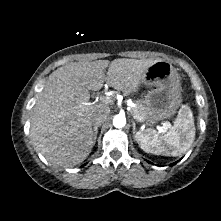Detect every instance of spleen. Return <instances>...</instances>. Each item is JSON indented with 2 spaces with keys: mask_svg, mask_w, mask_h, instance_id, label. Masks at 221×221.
<instances>
[{
  "mask_svg": "<svg viewBox=\"0 0 221 221\" xmlns=\"http://www.w3.org/2000/svg\"><path fill=\"white\" fill-rule=\"evenodd\" d=\"M141 149L147 153L165 156H179L186 152L195 139L193 114L187 105L181 107L174 125L160 134L154 129L137 132L135 136Z\"/></svg>",
  "mask_w": 221,
  "mask_h": 221,
  "instance_id": "3e777b00",
  "label": "spleen"
}]
</instances>
